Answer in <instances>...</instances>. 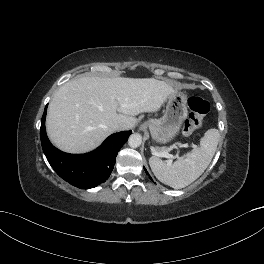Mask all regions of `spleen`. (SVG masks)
Instances as JSON below:
<instances>
[{
    "label": "spleen",
    "mask_w": 264,
    "mask_h": 264,
    "mask_svg": "<svg viewBox=\"0 0 264 264\" xmlns=\"http://www.w3.org/2000/svg\"><path fill=\"white\" fill-rule=\"evenodd\" d=\"M219 131L215 128L205 132L200 140V146L179 157L173 164L165 163L152 156L149 164L155 177L162 183L174 188H184L206 170L210 164L219 141Z\"/></svg>",
    "instance_id": "spleen-1"
}]
</instances>
